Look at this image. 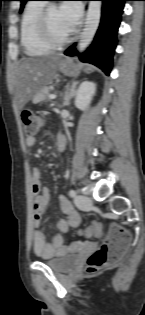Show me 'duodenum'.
<instances>
[{
  "mask_svg": "<svg viewBox=\"0 0 145 315\" xmlns=\"http://www.w3.org/2000/svg\"><path fill=\"white\" fill-rule=\"evenodd\" d=\"M56 146H57V150L59 152H62L64 150V148H65V142L64 141H58L56 143Z\"/></svg>",
  "mask_w": 145,
  "mask_h": 315,
  "instance_id": "410a0bca",
  "label": "duodenum"
}]
</instances>
